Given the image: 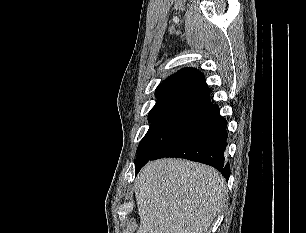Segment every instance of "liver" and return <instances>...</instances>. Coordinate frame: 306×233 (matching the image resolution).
Here are the masks:
<instances>
[{
	"label": "liver",
	"instance_id": "1",
	"mask_svg": "<svg viewBox=\"0 0 306 233\" xmlns=\"http://www.w3.org/2000/svg\"><path fill=\"white\" fill-rule=\"evenodd\" d=\"M214 168L181 159L148 162L135 181L137 233H207L225 200Z\"/></svg>",
	"mask_w": 306,
	"mask_h": 233
}]
</instances>
